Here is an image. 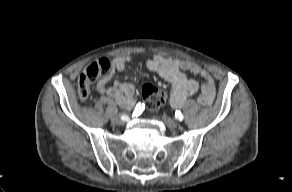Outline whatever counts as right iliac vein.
<instances>
[{"label":"right iliac vein","mask_w":292,"mask_h":192,"mask_svg":"<svg viewBox=\"0 0 292 192\" xmlns=\"http://www.w3.org/2000/svg\"><path fill=\"white\" fill-rule=\"evenodd\" d=\"M112 123L117 124V125H122L124 123V120H122L119 117H114L112 118Z\"/></svg>","instance_id":"obj_1"}]
</instances>
